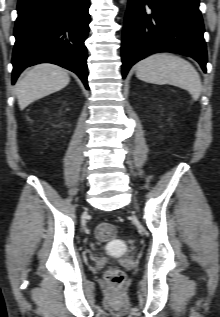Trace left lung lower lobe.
<instances>
[{"instance_id":"obj_1","label":"left lung lower lobe","mask_w":220,"mask_h":317,"mask_svg":"<svg viewBox=\"0 0 220 317\" xmlns=\"http://www.w3.org/2000/svg\"><path fill=\"white\" fill-rule=\"evenodd\" d=\"M199 0H129L122 38L123 78L133 64L159 51L194 58L206 72Z\"/></svg>"}]
</instances>
